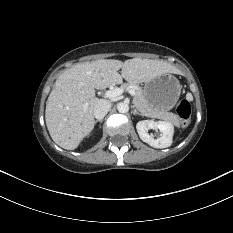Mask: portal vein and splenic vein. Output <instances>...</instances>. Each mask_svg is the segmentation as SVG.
I'll use <instances>...</instances> for the list:
<instances>
[{
	"label": "portal vein and splenic vein",
	"instance_id": "portal-vein-and-splenic-vein-1",
	"mask_svg": "<svg viewBox=\"0 0 233 233\" xmlns=\"http://www.w3.org/2000/svg\"><path fill=\"white\" fill-rule=\"evenodd\" d=\"M123 90L121 88H115L112 90H108L105 92V97L106 98H116L120 95H122ZM129 93L134 96L135 95V91L133 89L129 90Z\"/></svg>",
	"mask_w": 233,
	"mask_h": 233
}]
</instances>
